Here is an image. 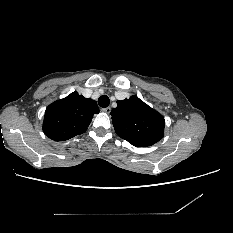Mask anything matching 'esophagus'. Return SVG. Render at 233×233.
<instances>
[{
  "label": "esophagus",
  "instance_id": "1",
  "mask_svg": "<svg viewBox=\"0 0 233 233\" xmlns=\"http://www.w3.org/2000/svg\"><path fill=\"white\" fill-rule=\"evenodd\" d=\"M103 112L109 114L111 112V108L110 107H106L102 109Z\"/></svg>",
  "mask_w": 233,
  "mask_h": 233
}]
</instances>
